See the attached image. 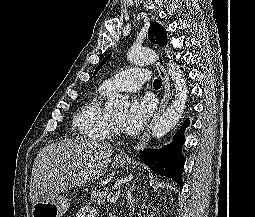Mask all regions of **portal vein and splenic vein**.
Masks as SVG:
<instances>
[{
    "label": "portal vein and splenic vein",
    "instance_id": "portal-vein-and-splenic-vein-1",
    "mask_svg": "<svg viewBox=\"0 0 255 217\" xmlns=\"http://www.w3.org/2000/svg\"><path fill=\"white\" fill-rule=\"evenodd\" d=\"M119 194H120V190H118L117 192H115L113 195H110V196L107 198V201L110 202V203L116 202V200H117L118 197H119Z\"/></svg>",
    "mask_w": 255,
    "mask_h": 217
}]
</instances>
